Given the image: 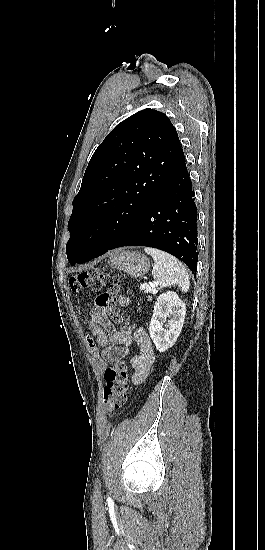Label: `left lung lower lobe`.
<instances>
[{"instance_id":"1","label":"left lung lower lobe","mask_w":265,"mask_h":550,"mask_svg":"<svg viewBox=\"0 0 265 550\" xmlns=\"http://www.w3.org/2000/svg\"><path fill=\"white\" fill-rule=\"evenodd\" d=\"M197 210L185 159L133 224L106 250L147 246L166 251L197 271Z\"/></svg>"}]
</instances>
